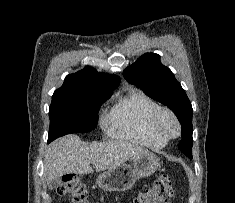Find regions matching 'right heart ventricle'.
Masks as SVG:
<instances>
[{
    "instance_id": "right-heart-ventricle-1",
    "label": "right heart ventricle",
    "mask_w": 235,
    "mask_h": 203,
    "mask_svg": "<svg viewBox=\"0 0 235 203\" xmlns=\"http://www.w3.org/2000/svg\"><path fill=\"white\" fill-rule=\"evenodd\" d=\"M159 107L157 102L142 91L130 89L118 97L107 115V129L116 138L149 148H162L167 141L149 130L151 115Z\"/></svg>"
}]
</instances>
